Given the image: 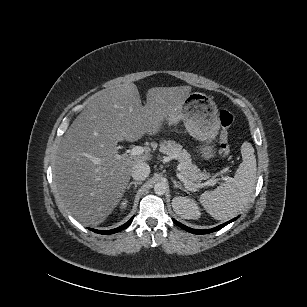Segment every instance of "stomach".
Here are the masks:
<instances>
[{"instance_id":"1","label":"stomach","mask_w":307,"mask_h":307,"mask_svg":"<svg viewBox=\"0 0 307 307\" xmlns=\"http://www.w3.org/2000/svg\"><path fill=\"white\" fill-rule=\"evenodd\" d=\"M163 122L168 128L183 122L189 134L200 141H211L219 130L217 106L211 97L201 92L189 93L180 110L167 114ZM211 152V147L202 149L205 157Z\"/></svg>"}]
</instances>
